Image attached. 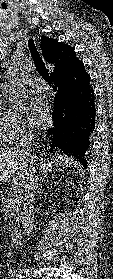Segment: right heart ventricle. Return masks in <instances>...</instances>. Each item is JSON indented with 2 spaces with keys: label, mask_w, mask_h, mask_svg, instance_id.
Wrapping results in <instances>:
<instances>
[{
  "label": "right heart ventricle",
  "mask_w": 113,
  "mask_h": 279,
  "mask_svg": "<svg viewBox=\"0 0 113 279\" xmlns=\"http://www.w3.org/2000/svg\"><path fill=\"white\" fill-rule=\"evenodd\" d=\"M13 124L14 120L8 117L2 109L0 96V147L13 142Z\"/></svg>",
  "instance_id": "obj_1"
}]
</instances>
